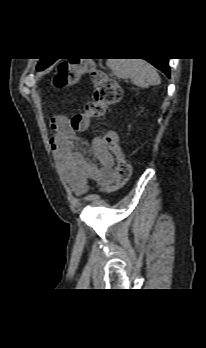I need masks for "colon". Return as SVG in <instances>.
I'll return each mask as SVG.
<instances>
[{
	"mask_svg": "<svg viewBox=\"0 0 206 348\" xmlns=\"http://www.w3.org/2000/svg\"><path fill=\"white\" fill-rule=\"evenodd\" d=\"M86 73L92 74L93 94L85 110L76 113L71 118V127L78 131L87 129L93 118L103 116L110 106L120 101L122 96L119 83L108 73L97 69L91 58H73L61 62L51 83L55 88L63 89L77 83ZM104 143L115 157V185L109 189H118L129 181L132 173L131 165L123 154L119 136L115 131L106 130L104 132Z\"/></svg>",
	"mask_w": 206,
	"mask_h": 348,
	"instance_id": "1",
	"label": "colon"
}]
</instances>
